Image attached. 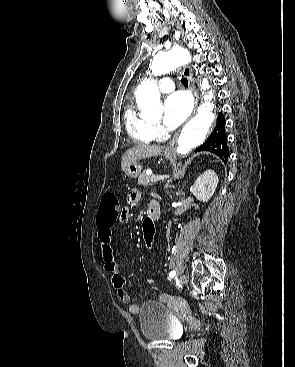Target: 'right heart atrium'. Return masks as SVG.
<instances>
[{"label": "right heart atrium", "instance_id": "right-heart-atrium-1", "mask_svg": "<svg viewBox=\"0 0 295 367\" xmlns=\"http://www.w3.org/2000/svg\"><path fill=\"white\" fill-rule=\"evenodd\" d=\"M154 132L158 138L163 137L165 134V130L161 125L155 124L153 125Z\"/></svg>", "mask_w": 295, "mask_h": 367}]
</instances>
